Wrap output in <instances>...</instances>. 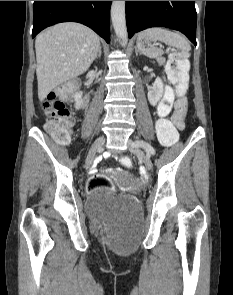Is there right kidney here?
Listing matches in <instances>:
<instances>
[{
    "label": "right kidney",
    "mask_w": 233,
    "mask_h": 295,
    "mask_svg": "<svg viewBox=\"0 0 233 295\" xmlns=\"http://www.w3.org/2000/svg\"><path fill=\"white\" fill-rule=\"evenodd\" d=\"M74 99H75V108L78 110L82 104V92L81 91H77L74 95Z\"/></svg>",
    "instance_id": "right-kidney-1"
}]
</instances>
